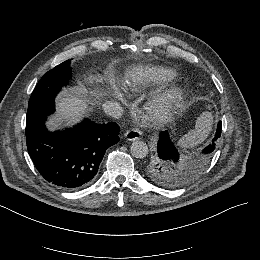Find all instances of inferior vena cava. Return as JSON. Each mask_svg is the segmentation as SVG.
Returning a JSON list of instances; mask_svg holds the SVG:
<instances>
[{"label": "inferior vena cava", "instance_id": "602c4592", "mask_svg": "<svg viewBox=\"0 0 260 260\" xmlns=\"http://www.w3.org/2000/svg\"><path fill=\"white\" fill-rule=\"evenodd\" d=\"M103 111L112 117L119 118L123 113V108L118 102L106 101L102 105Z\"/></svg>", "mask_w": 260, "mask_h": 260}]
</instances>
